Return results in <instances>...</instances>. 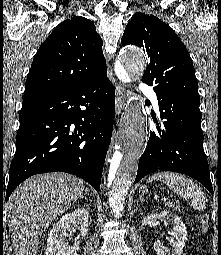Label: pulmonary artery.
Masks as SVG:
<instances>
[{
    "label": "pulmonary artery",
    "instance_id": "1",
    "mask_svg": "<svg viewBox=\"0 0 221 255\" xmlns=\"http://www.w3.org/2000/svg\"><path fill=\"white\" fill-rule=\"evenodd\" d=\"M139 90L142 94L147 95L151 98L152 103L155 107H158V100L156 93L152 90V88L146 83H140Z\"/></svg>",
    "mask_w": 221,
    "mask_h": 255
}]
</instances>
